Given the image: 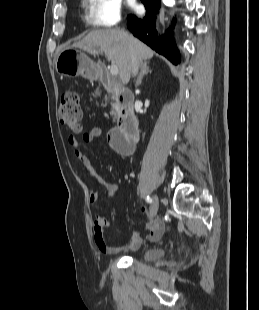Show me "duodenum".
<instances>
[{
    "instance_id": "1",
    "label": "duodenum",
    "mask_w": 259,
    "mask_h": 310,
    "mask_svg": "<svg viewBox=\"0 0 259 310\" xmlns=\"http://www.w3.org/2000/svg\"><path fill=\"white\" fill-rule=\"evenodd\" d=\"M97 76L104 87L109 90L117 104L118 127L109 133L111 145L123 155L134 152L138 139V125L134 113L133 94L127 89L120 88L107 76L103 67H98Z\"/></svg>"
}]
</instances>
